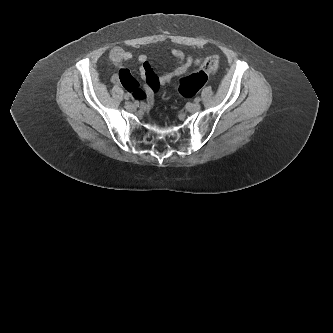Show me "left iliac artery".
<instances>
[{
  "label": "left iliac artery",
  "mask_w": 333,
  "mask_h": 333,
  "mask_svg": "<svg viewBox=\"0 0 333 333\" xmlns=\"http://www.w3.org/2000/svg\"><path fill=\"white\" fill-rule=\"evenodd\" d=\"M200 100L201 99L199 97H196L194 101L198 103Z\"/></svg>",
  "instance_id": "obj_1"
}]
</instances>
